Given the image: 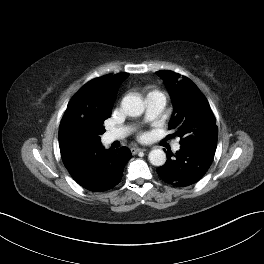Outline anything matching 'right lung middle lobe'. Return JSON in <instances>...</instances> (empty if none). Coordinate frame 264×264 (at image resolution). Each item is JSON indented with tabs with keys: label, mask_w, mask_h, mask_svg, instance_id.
I'll use <instances>...</instances> for the list:
<instances>
[{
	"label": "right lung middle lobe",
	"mask_w": 264,
	"mask_h": 264,
	"mask_svg": "<svg viewBox=\"0 0 264 264\" xmlns=\"http://www.w3.org/2000/svg\"><path fill=\"white\" fill-rule=\"evenodd\" d=\"M108 117L110 116L101 118L87 127L77 129L73 133L71 141L100 140V135L105 132V128L102 124Z\"/></svg>",
	"instance_id": "1"
}]
</instances>
